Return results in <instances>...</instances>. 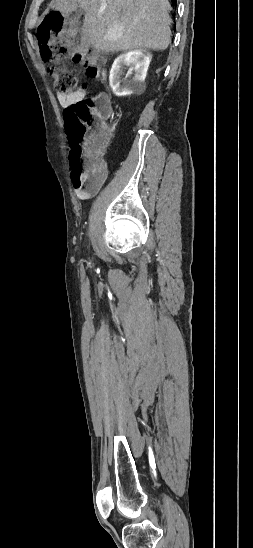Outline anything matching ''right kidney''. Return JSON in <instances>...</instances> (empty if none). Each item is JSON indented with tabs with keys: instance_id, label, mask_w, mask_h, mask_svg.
<instances>
[{
	"instance_id": "1",
	"label": "right kidney",
	"mask_w": 253,
	"mask_h": 548,
	"mask_svg": "<svg viewBox=\"0 0 253 548\" xmlns=\"http://www.w3.org/2000/svg\"><path fill=\"white\" fill-rule=\"evenodd\" d=\"M152 59V55L143 49H136L118 56L110 70V87L118 97L129 96L145 90L144 80ZM129 67L128 75L134 71V75L123 84L121 75L124 67Z\"/></svg>"
}]
</instances>
